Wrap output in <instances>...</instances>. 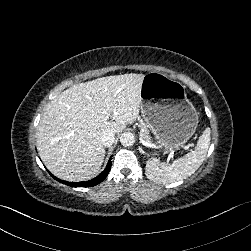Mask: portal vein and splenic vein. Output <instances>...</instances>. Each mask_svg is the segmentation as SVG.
I'll return each instance as SVG.
<instances>
[{
  "instance_id": "18ae733b",
  "label": "portal vein and splenic vein",
  "mask_w": 251,
  "mask_h": 251,
  "mask_svg": "<svg viewBox=\"0 0 251 251\" xmlns=\"http://www.w3.org/2000/svg\"><path fill=\"white\" fill-rule=\"evenodd\" d=\"M139 141L141 144H143L144 146L148 147H165L166 149H169V151L166 153V157H165V162L167 164H171L175 161L176 159V153L174 152V146L171 144H168L167 142H149L147 140H145L143 138V136L141 134H139Z\"/></svg>"
}]
</instances>
